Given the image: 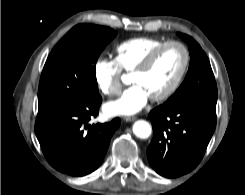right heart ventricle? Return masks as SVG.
<instances>
[{
  "instance_id": "obj_1",
  "label": "right heart ventricle",
  "mask_w": 245,
  "mask_h": 195,
  "mask_svg": "<svg viewBox=\"0 0 245 195\" xmlns=\"http://www.w3.org/2000/svg\"><path fill=\"white\" fill-rule=\"evenodd\" d=\"M163 43L162 40L147 37L126 40L117 45L115 61L121 70L132 72L150 51Z\"/></svg>"
}]
</instances>
